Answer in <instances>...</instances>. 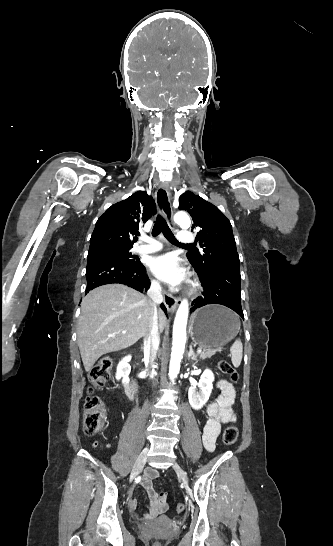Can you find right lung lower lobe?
<instances>
[{
    "mask_svg": "<svg viewBox=\"0 0 333 546\" xmlns=\"http://www.w3.org/2000/svg\"><path fill=\"white\" fill-rule=\"evenodd\" d=\"M87 289L92 290L98 286L120 283L143 292L150 288V280L146 274V268L138 263L126 262L122 259L102 253H92L87 258L86 269ZM161 308L167 310L162 304Z\"/></svg>",
    "mask_w": 333,
    "mask_h": 546,
    "instance_id": "98d812e1",
    "label": "right lung lower lobe"
}]
</instances>
